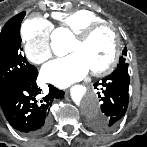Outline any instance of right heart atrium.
I'll return each instance as SVG.
<instances>
[{
    "label": "right heart atrium",
    "instance_id": "right-heart-atrium-1",
    "mask_svg": "<svg viewBox=\"0 0 147 147\" xmlns=\"http://www.w3.org/2000/svg\"><path fill=\"white\" fill-rule=\"evenodd\" d=\"M52 29L51 23L41 16H33L24 22L21 37L24 53L30 62L40 65L52 57Z\"/></svg>",
    "mask_w": 147,
    "mask_h": 147
}]
</instances>
